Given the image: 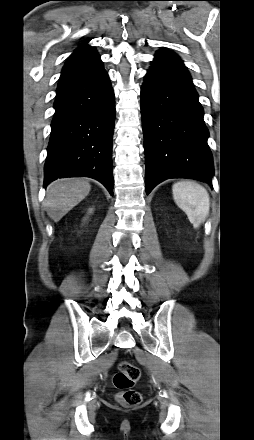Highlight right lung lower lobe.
<instances>
[{
  "mask_svg": "<svg viewBox=\"0 0 254 440\" xmlns=\"http://www.w3.org/2000/svg\"><path fill=\"white\" fill-rule=\"evenodd\" d=\"M44 167V187L57 178L91 177L113 195L114 92L98 61L61 75Z\"/></svg>",
  "mask_w": 254,
  "mask_h": 440,
  "instance_id": "obj_1",
  "label": "right lung lower lobe"
}]
</instances>
